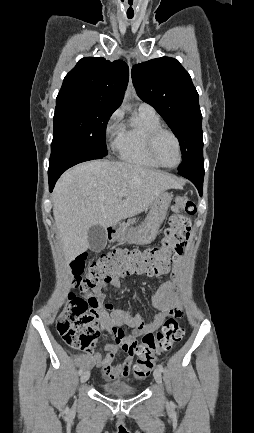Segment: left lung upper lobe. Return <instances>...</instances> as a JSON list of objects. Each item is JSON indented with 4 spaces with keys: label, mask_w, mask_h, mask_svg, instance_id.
<instances>
[{
    "label": "left lung upper lobe",
    "mask_w": 254,
    "mask_h": 433,
    "mask_svg": "<svg viewBox=\"0 0 254 433\" xmlns=\"http://www.w3.org/2000/svg\"><path fill=\"white\" fill-rule=\"evenodd\" d=\"M138 96L155 108L177 136L183 160L178 172L204 173L202 115L198 93L178 60L161 57L132 67Z\"/></svg>",
    "instance_id": "1"
}]
</instances>
